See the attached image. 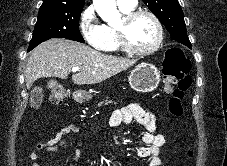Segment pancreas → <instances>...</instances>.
I'll use <instances>...</instances> for the list:
<instances>
[{
	"label": "pancreas",
	"mask_w": 227,
	"mask_h": 166,
	"mask_svg": "<svg viewBox=\"0 0 227 166\" xmlns=\"http://www.w3.org/2000/svg\"><path fill=\"white\" fill-rule=\"evenodd\" d=\"M108 103H112V101H106L105 104L107 105ZM102 104H103V102H100V103L98 104V107H100Z\"/></svg>",
	"instance_id": "pancreas-1"
}]
</instances>
